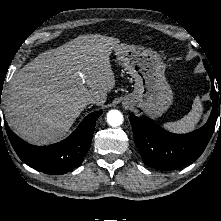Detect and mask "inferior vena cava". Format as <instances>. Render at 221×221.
I'll use <instances>...</instances> for the list:
<instances>
[{"label": "inferior vena cava", "instance_id": "602c4592", "mask_svg": "<svg viewBox=\"0 0 221 221\" xmlns=\"http://www.w3.org/2000/svg\"><path fill=\"white\" fill-rule=\"evenodd\" d=\"M85 103L86 104H94V103H96V100L94 98H87L85 100Z\"/></svg>", "mask_w": 221, "mask_h": 221}]
</instances>
